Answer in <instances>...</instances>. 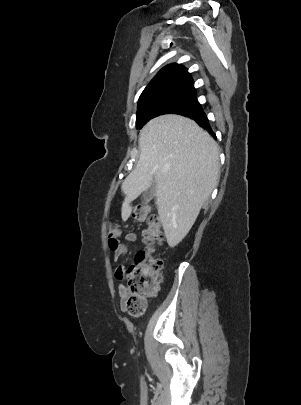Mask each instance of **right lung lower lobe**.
I'll use <instances>...</instances> for the list:
<instances>
[{
	"instance_id": "98d812e1",
	"label": "right lung lower lobe",
	"mask_w": 301,
	"mask_h": 405,
	"mask_svg": "<svg viewBox=\"0 0 301 405\" xmlns=\"http://www.w3.org/2000/svg\"><path fill=\"white\" fill-rule=\"evenodd\" d=\"M181 115L194 119L202 128L208 130L216 138L210 127L209 120L207 119V116L202 109L183 112L181 113Z\"/></svg>"
}]
</instances>
